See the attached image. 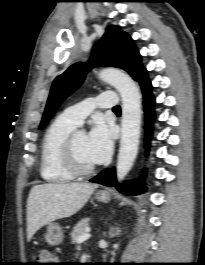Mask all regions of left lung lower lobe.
<instances>
[{
	"label": "left lung lower lobe",
	"mask_w": 205,
	"mask_h": 265,
	"mask_svg": "<svg viewBox=\"0 0 205 265\" xmlns=\"http://www.w3.org/2000/svg\"><path fill=\"white\" fill-rule=\"evenodd\" d=\"M137 82L139 83L142 93H143V104H144V111L146 115V139H145V148L149 149L150 144V137H151V128L153 121L155 119V114L153 110L154 106V97L151 92L152 86L151 82L147 76V71L144 69L138 79ZM146 176V172H142L140 178L134 179L126 184H119L115 178V169L110 170L109 168L103 170L100 174L96 177L92 178L90 182L99 183L108 187L115 186L121 193L126 195H139L143 193L144 188V178Z\"/></svg>",
	"instance_id": "obj_1"
}]
</instances>
